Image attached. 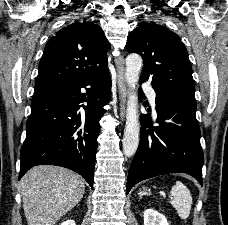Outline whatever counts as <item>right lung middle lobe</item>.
Listing matches in <instances>:
<instances>
[{"instance_id": "dd1d6c3e", "label": "right lung middle lobe", "mask_w": 228, "mask_h": 225, "mask_svg": "<svg viewBox=\"0 0 228 225\" xmlns=\"http://www.w3.org/2000/svg\"><path fill=\"white\" fill-rule=\"evenodd\" d=\"M47 90H50V89H35L34 94L40 93V92H44V91H47Z\"/></svg>"}]
</instances>
